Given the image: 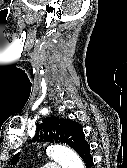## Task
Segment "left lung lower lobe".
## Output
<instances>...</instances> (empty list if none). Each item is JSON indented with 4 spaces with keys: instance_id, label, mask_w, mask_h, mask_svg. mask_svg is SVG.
<instances>
[{
    "instance_id": "0a47b994",
    "label": "left lung lower lobe",
    "mask_w": 127,
    "mask_h": 168,
    "mask_svg": "<svg viewBox=\"0 0 127 168\" xmlns=\"http://www.w3.org/2000/svg\"><path fill=\"white\" fill-rule=\"evenodd\" d=\"M77 153L81 156L83 159L86 168H90L93 165V159L90 155V145L84 141L79 149L77 150Z\"/></svg>"
}]
</instances>
